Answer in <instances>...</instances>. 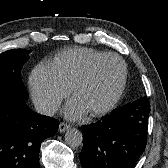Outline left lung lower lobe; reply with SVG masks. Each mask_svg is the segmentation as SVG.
Instances as JSON below:
<instances>
[{
    "label": "left lung lower lobe",
    "instance_id": "1",
    "mask_svg": "<svg viewBox=\"0 0 168 168\" xmlns=\"http://www.w3.org/2000/svg\"><path fill=\"white\" fill-rule=\"evenodd\" d=\"M148 101H134L82 127V168H134L147 142Z\"/></svg>",
    "mask_w": 168,
    "mask_h": 168
}]
</instances>
